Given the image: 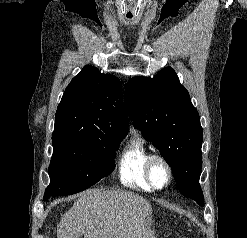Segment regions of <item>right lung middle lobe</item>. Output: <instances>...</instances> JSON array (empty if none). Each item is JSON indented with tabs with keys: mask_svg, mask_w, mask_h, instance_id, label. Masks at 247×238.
<instances>
[{
	"mask_svg": "<svg viewBox=\"0 0 247 238\" xmlns=\"http://www.w3.org/2000/svg\"><path fill=\"white\" fill-rule=\"evenodd\" d=\"M121 140L66 135L52 138L53 155L48 168L50 184L44 200L85 190L109 175Z\"/></svg>",
	"mask_w": 247,
	"mask_h": 238,
	"instance_id": "obj_1",
	"label": "right lung middle lobe"
}]
</instances>
